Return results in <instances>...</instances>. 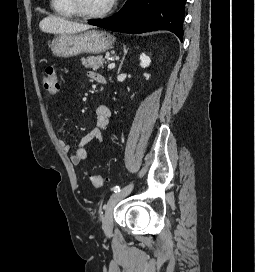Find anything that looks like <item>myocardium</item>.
<instances>
[{"label": "myocardium", "mask_w": 255, "mask_h": 272, "mask_svg": "<svg viewBox=\"0 0 255 272\" xmlns=\"http://www.w3.org/2000/svg\"><path fill=\"white\" fill-rule=\"evenodd\" d=\"M69 1L72 9L76 12L78 16L88 19H98L106 17L113 11L115 6V0H111L109 6L105 10L94 13L84 9L82 0H69Z\"/></svg>", "instance_id": "1"}]
</instances>
